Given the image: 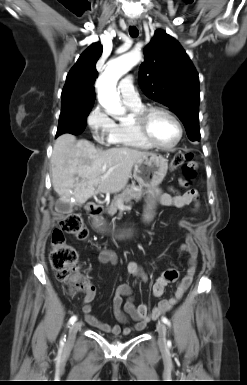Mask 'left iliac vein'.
I'll return each instance as SVG.
<instances>
[{
  "label": "left iliac vein",
  "instance_id": "left-iliac-vein-1",
  "mask_svg": "<svg viewBox=\"0 0 247 385\" xmlns=\"http://www.w3.org/2000/svg\"><path fill=\"white\" fill-rule=\"evenodd\" d=\"M156 328H157V332H158V344L160 347H165L166 341H167L166 340V334H167L166 325L163 322L158 321Z\"/></svg>",
  "mask_w": 247,
  "mask_h": 385
}]
</instances>
